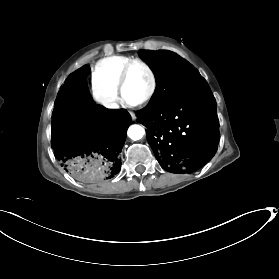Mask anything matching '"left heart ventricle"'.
Masks as SVG:
<instances>
[{
	"mask_svg": "<svg viewBox=\"0 0 279 279\" xmlns=\"http://www.w3.org/2000/svg\"><path fill=\"white\" fill-rule=\"evenodd\" d=\"M151 86L148 72L140 65L131 68L124 92L127 103H134L146 96Z\"/></svg>",
	"mask_w": 279,
	"mask_h": 279,
	"instance_id": "b2bd125f",
	"label": "left heart ventricle"
}]
</instances>
